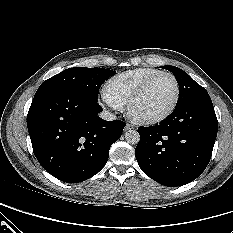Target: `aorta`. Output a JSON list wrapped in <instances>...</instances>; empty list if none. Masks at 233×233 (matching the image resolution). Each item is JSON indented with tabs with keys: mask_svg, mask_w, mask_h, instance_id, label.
<instances>
[{
	"mask_svg": "<svg viewBox=\"0 0 233 233\" xmlns=\"http://www.w3.org/2000/svg\"><path fill=\"white\" fill-rule=\"evenodd\" d=\"M125 139L128 143L135 145L140 141V134L136 130H128L125 133Z\"/></svg>",
	"mask_w": 233,
	"mask_h": 233,
	"instance_id": "obj_1",
	"label": "aorta"
}]
</instances>
